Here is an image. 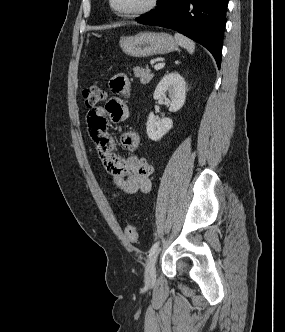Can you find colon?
Wrapping results in <instances>:
<instances>
[{
	"mask_svg": "<svg viewBox=\"0 0 285 332\" xmlns=\"http://www.w3.org/2000/svg\"><path fill=\"white\" fill-rule=\"evenodd\" d=\"M83 97L86 107L93 110L104 100L105 92L101 87L91 85L83 91ZM125 236L130 242H136L138 240L137 226L133 223H129L125 227Z\"/></svg>",
	"mask_w": 285,
	"mask_h": 332,
	"instance_id": "1",
	"label": "colon"
}]
</instances>
